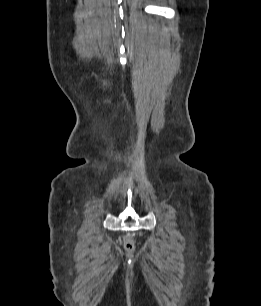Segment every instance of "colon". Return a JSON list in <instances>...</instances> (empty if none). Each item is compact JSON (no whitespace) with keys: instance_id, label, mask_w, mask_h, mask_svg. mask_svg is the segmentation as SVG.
<instances>
[{"instance_id":"5ec220e1","label":"colon","mask_w":261,"mask_h":306,"mask_svg":"<svg viewBox=\"0 0 261 306\" xmlns=\"http://www.w3.org/2000/svg\"><path fill=\"white\" fill-rule=\"evenodd\" d=\"M124 242L127 248H132L133 247V242L129 237L124 238Z\"/></svg>"}]
</instances>
